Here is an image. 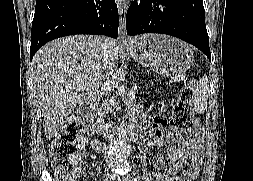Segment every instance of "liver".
<instances>
[{"label": "liver", "instance_id": "liver-1", "mask_svg": "<svg viewBox=\"0 0 253 181\" xmlns=\"http://www.w3.org/2000/svg\"><path fill=\"white\" fill-rule=\"evenodd\" d=\"M111 43L110 68L116 70L119 42ZM104 39L76 35L44 45L32 60L33 88L42 108L44 133L51 138L64 119L106 79Z\"/></svg>", "mask_w": 253, "mask_h": 181}]
</instances>
